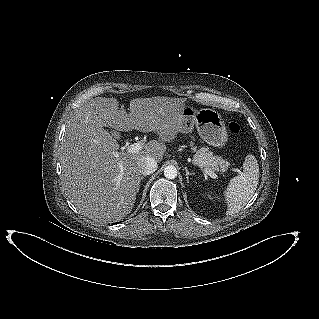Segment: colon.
I'll return each mask as SVG.
<instances>
[{
    "label": "colon",
    "mask_w": 319,
    "mask_h": 319,
    "mask_svg": "<svg viewBox=\"0 0 319 319\" xmlns=\"http://www.w3.org/2000/svg\"><path fill=\"white\" fill-rule=\"evenodd\" d=\"M240 124L238 122H231L229 124V130L234 133V134H237L240 132Z\"/></svg>",
    "instance_id": "obj_1"
}]
</instances>
